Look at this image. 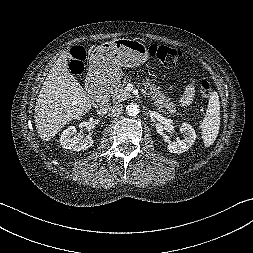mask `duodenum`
I'll list each match as a JSON object with an SVG mask.
<instances>
[{
    "instance_id": "obj_1",
    "label": "duodenum",
    "mask_w": 253,
    "mask_h": 253,
    "mask_svg": "<svg viewBox=\"0 0 253 253\" xmlns=\"http://www.w3.org/2000/svg\"><path fill=\"white\" fill-rule=\"evenodd\" d=\"M107 94H108V89L103 86L97 87L94 91V97L97 100L99 111L101 113H105L106 107L108 105Z\"/></svg>"
}]
</instances>
